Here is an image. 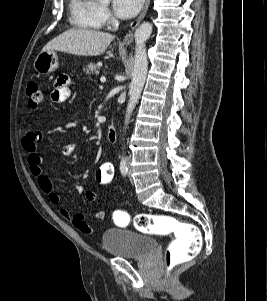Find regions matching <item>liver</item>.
Returning <instances> with one entry per match:
<instances>
[{
    "mask_svg": "<svg viewBox=\"0 0 267 301\" xmlns=\"http://www.w3.org/2000/svg\"><path fill=\"white\" fill-rule=\"evenodd\" d=\"M114 36L85 29H70L47 43L42 51H61L78 56H97L105 52Z\"/></svg>",
    "mask_w": 267,
    "mask_h": 301,
    "instance_id": "obj_1",
    "label": "liver"
}]
</instances>
